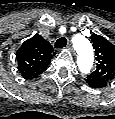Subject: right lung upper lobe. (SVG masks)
I'll list each match as a JSON object with an SVG mask.
<instances>
[{"instance_id": "right-lung-upper-lobe-1", "label": "right lung upper lobe", "mask_w": 115, "mask_h": 119, "mask_svg": "<svg viewBox=\"0 0 115 119\" xmlns=\"http://www.w3.org/2000/svg\"><path fill=\"white\" fill-rule=\"evenodd\" d=\"M52 56L50 43L41 35L35 34L16 53L18 70L25 79L35 78L47 69Z\"/></svg>"}]
</instances>
